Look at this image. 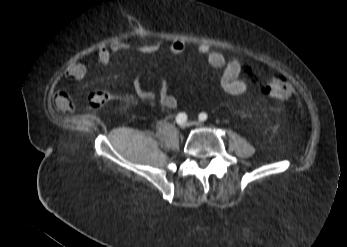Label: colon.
<instances>
[{"mask_svg": "<svg viewBox=\"0 0 347 247\" xmlns=\"http://www.w3.org/2000/svg\"><path fill=\"white\" fill-rule=\"evenodd\" d=\"M267 92L274 98H286L292 88L289 82L283 76H275L271 78L266 85ZM109 100V94L104 91H94L89 96V103L92 107H102Z\"/></svg>", "mask_w": 347, "mask_h": 247, "instance_id": "colon-1", "label": "colon"}]
</instances>
